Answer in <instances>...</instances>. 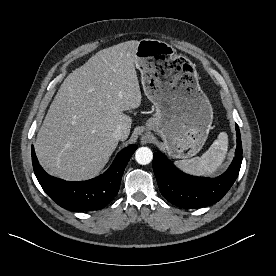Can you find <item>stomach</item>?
Here are the masks:
<instances>
[{
    "mask_svg": "<svg viewBox=\"0 0 276 276\" xmlns=\"http://www.w3.org/2000/svg\"><path fill=\"white\" fill-rule=\"evenodd\" d=\"M135 65L145 95L156 108L148 129L162 137L172 158L196 155L208 137L213 110L199 85L195 64L164 41L143 39L135 52Z\"/></svg>",
    "mask_w": 276,
    "mask_h": 276,
    "instance_id": "1",
    "label": "stomach"
}]
</instances>
